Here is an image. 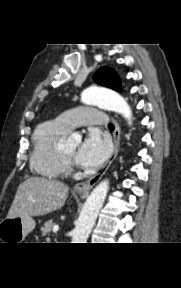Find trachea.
Listing matches in <instances>:
<instances>
[{
	"mask_svg": "<svg viewBox=\"0 0 181 288\" xmlns=\"http://www.w3.org/2000/svg\"><path fill=\"white\" fill-rule=\"evenodd\" d=\"M108 128H109L110 130H114V125H113L112 123H109V124H108Z\"/></svg>",
	"mask_w": 181,
	"mask_h": 288,
	"instance_id": "1",
	"label": "trachea"
}]
</instances>
